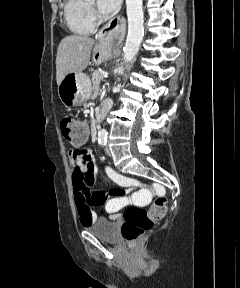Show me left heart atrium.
I'll return each mask as SVG.
<instances>
[{"label":"left heart atrium","mask_w":240,"mask_h":288,"mask_svg":"<svg viewBox=\"0 0 240 288\" xmlns=\"http://www.w3.org/2000/svg\"><path fill=\"white\" fill-rule=\"evenodd\" d=\"M122 0H97L99 12L103 16L113 14L119 7Z\"/></svg>","instance_id":"left-heart-atrium-1"}]
</instances>
